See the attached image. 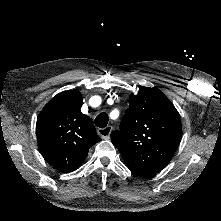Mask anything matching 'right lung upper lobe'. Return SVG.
Here are the masks:
<instances>
[{"instance_id": "obj_1", "label": "right lung upper lobe", "mask_w": 221, "mask_h": 221, "mask_svg": "<svg viewBox=\"0 0 221 221\" xmlns=\"http://www.w3.org/2000/svg\"><path fill=\"white\" fill-rule=\"evenodd\" d=\"M81 107L80 92L65 91L49 101L37 118L39 150L61 172L76 170L89 148L101 140L91 119L81 113Z\"/></svg>"}]
</instances>
